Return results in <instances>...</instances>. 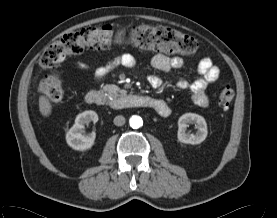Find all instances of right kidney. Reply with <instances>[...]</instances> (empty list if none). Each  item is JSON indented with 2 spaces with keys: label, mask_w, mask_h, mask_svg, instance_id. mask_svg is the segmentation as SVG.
<instances>
[{
  "label": "right kidney",
  "mask_w": 277,
  "mask_h": 218,
  "mask_svg": "<svg viewBox=\"0 0 277 218\" xmlns=\"http://www.w3.org/2000/svg\"><path fill=\"white\" fill-rule=\"evenodd\" d=\"M98 115L95 111L88 110L77 115L74 125L66 134L67 144L74 150L84 151L90 149L95 141L96 134H84V125L90 122L96 123Z\"/></svg>",
  "instance_id": "ca27d5eb"
}]
</instances>
